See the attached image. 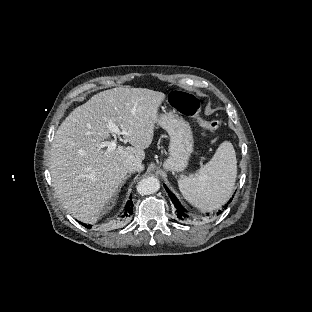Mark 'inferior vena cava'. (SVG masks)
<instances>
[{
  "label": "inferior vena cava",
  "mask_w": 312,
  "mask_h": 312,
  "mask_svg": "<svg viewBox=\"0 0 312 312\" xmlns=\"http://www.w3.org/2000/svg\"><path fill=\"white\" fill-rule=\"evenodd\" d=\"M144 167L140 161H133L128 165V173L143 171Z\"/></svg>",
  "instance_id": "602c4592"
}]
</instances>
